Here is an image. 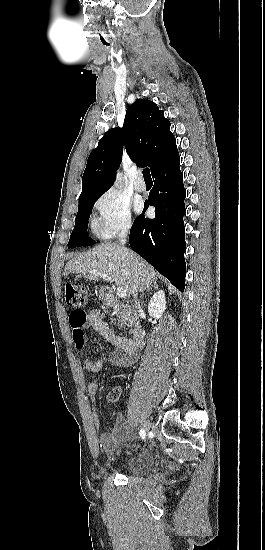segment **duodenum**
Returning <instances> with one entry per match:
<instances>
[{
  "mask_svg": "<svg viewBox=\"0 0 265 550\" xmlns=\"http://www.w3.org/2000/svg\"><path fill=\"white\" fill-rule=\"evenodd\" d=\"M102 300L107 305H114L117 301L114 295L109 291H104L102 293ZM145 342V332L141 326L135 327L133 331V336L130 339L131 347L134 350H139L141 347H143Z\"/></svg>",
  "mask_w": 265,
  "mask_h": 550,
  "instance_id": "1",
  "label": "duodenum"
}]
</instances>
